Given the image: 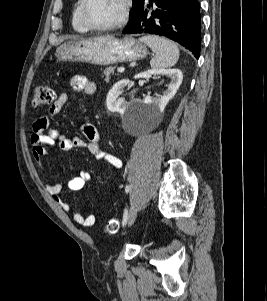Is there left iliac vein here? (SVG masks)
Segmentation results:
<instances>
[{
    "label": "left iliac vein",
    "instance_id": "obj_1",
    "mask_svg": "<svg viewBox=\"0 0 267 301\" xmlns=\"http://www.w3.org/2000/svg\"><path fill=\"white\" fill-rule=\"evenodd\" d=\"M137 216V205L135 203H132L130 209H129V215H128V226H131Z\"/></svg>",
    "mask_w": 267,
    "mask_h": 301
}]
</instances>
